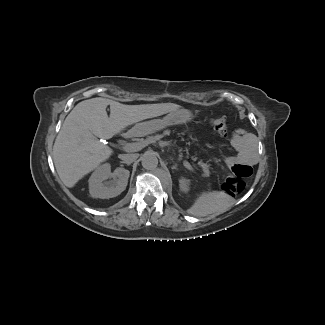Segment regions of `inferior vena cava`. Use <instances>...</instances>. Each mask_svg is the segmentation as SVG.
Here are the masks:
<instances>
[{
  "mask_svg": "<svg viewBox=\"0 0 325 325\" xmlns=\"http://www.w3.org/2000/svg\"><path fill=\"white\" fill-rule=\"evenodd\" d=\"M118 157L125 163H132L138 158V154H120Z\"/></svg>",
  "mask_w": 325,
  "mask_h": 325,
  "instance_id": "inferior-vena-cava-1",
  "label": "inferior vena cava"
}]
</instances>
